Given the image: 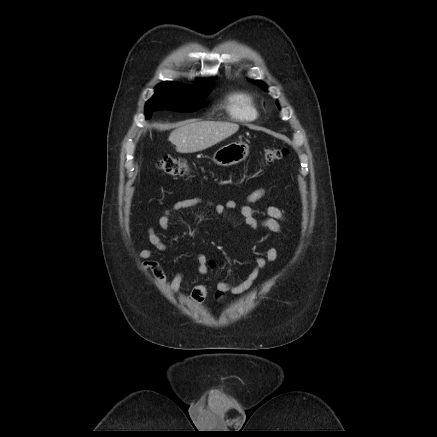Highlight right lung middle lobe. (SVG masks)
I'll return each mask as SVG.
<instances>
[{"label":"right lung middle lobe","instance_id":"right-lung-middle-lobe-1","mask_svg":"<svg viewBox=\"0 0 437 437\" xmlns=\"http://www.w3.org/2000/svg\"><path fill=\"white\" fill-rule=\"evenodd\" d=\"M213 89V83L199 87H186L176 82H163L156 86L155 94L145 105L146 118L157 110L190 112L199 109L206 96Z\"/></svg>","mask_w":437,"mask_h":437}]
</instances>
